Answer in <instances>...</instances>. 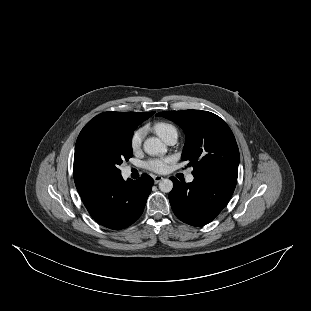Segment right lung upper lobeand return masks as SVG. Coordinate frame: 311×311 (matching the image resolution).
<instances>
[{"mask_svg": "<svg viewBox=\"0 0 311 311\" xmlns=\"http://www.w3.org/2000/svg\"><path fill=\"white\" fill-rule=\"evenodd\" d=\"M154 113L155 112H148V113L104 112V113L97 115L95 118H102L105 120H109L115 123H120V124L136 129L139 124H141L143 121L148 119ZM74 181H75L77 190H79L84 185L90 182L96 181V180L74 175Z\"/></svg>", "mask_w": 311, "mask_h": 311, "instance_id": "obj_1", "label": "right lung upper lobe"}]
</instances>
